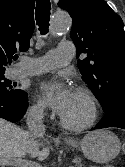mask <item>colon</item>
<instances>
[{
  "label": "colon",
  "instance_id": "colon-1",
  "mask_svg": "<svg viewBox=\"0 0 125 167\" xmlns=\"http://www.w3.org/2000/svg\"><path fill=\"white\" fill-rule=\"evenodd\" d=\"M122 150H123V153L125 154V142L123 143V148H122Z\"/></svg>",
  "mask_w": 125,
  "mask_h": 167
}]
</instances>
